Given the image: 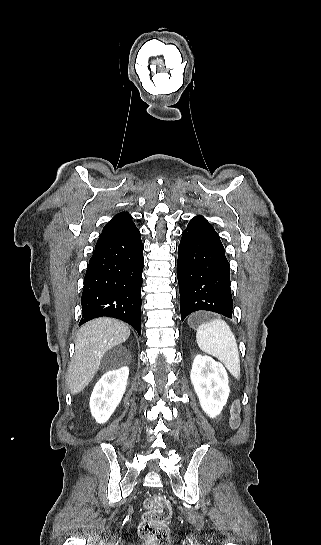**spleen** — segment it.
<instances>
[{"mask_svg": "<svg viewBox=\"0 0 321 545\" xmlns=\"http://www.w3.org/2000/svg\"><path fill=\"white\" fill-rule=\"evenodd\" d=\"M196 341L203 353L219 359L235 379H240L238 345L226 321L214 319L209 323H202L197 329Z\"/></svg>", "mask_w": 321, "mask_h": 545, "instance_id": "obj_1", "label": "spleen"}]
</instances>
